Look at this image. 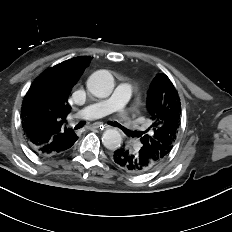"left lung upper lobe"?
I'll use <instances>...</instances> for the list:
<instances>
[{
    "instance_id": "left-lung-upper-lobe-1",
    "label": "left lung upper lobe",
    "mask_w": 232,
    "mask_h": 232,
    "mask_svg": "<svg viewBox=\"0 0 232 232\" xmlns=\"http://www.w3.org/2000/svg\"><path fill=\"white\" fill-rule=\"evenodd\" d=\"M146 108L153 123L146 131L138 133L142 143L140 150L160 164L177 139L181 116L178 92L165 74H158L153 79Z\"/></svg>"
}]
</instances>
